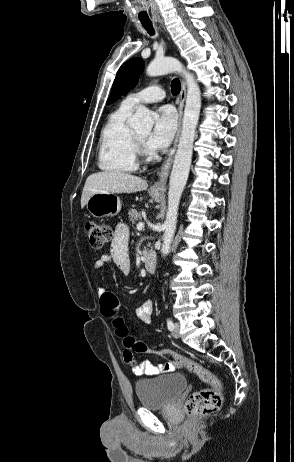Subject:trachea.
Listing matches in <instances>:
<instances>
[{
	"mask_svg": "<svg viewBox=\"0 0 294 462\" xmlns=\"http://www.w3.org/2000/svg\"><path fill=\"white\" fill-rule=\"evenodd\" d=\"M143 27L146 29V31L150 34H154V28L152 23H142ZM181 85L179 79H173L171 83V92L173 95H177L180 92Z\"/></svg>",
	"mask_w": 294,
	"mask_h": 462,
	"instance_id": "obj_1",
	"label": "trachea"
}]
</instances>
